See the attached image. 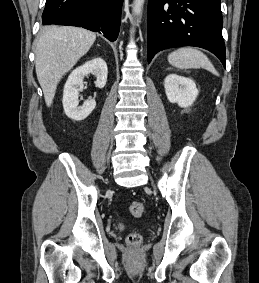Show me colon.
<instances>
[{
	"instance_id": "colon-1",
	"label": "colon",
	"mask_w": 259,
	"mask_h": 283,
	"mask_svg": "<svg viewBox=\"0 0 259 283\" xmlns=\"http://www.w3.org/2000/svg\"><path fill=\"white\" fill-rule=\"evenodd\" d=\"M145 206L142 202L135 201L130 205V212L135 217H141L144 214ZM127 243L130 246H138L142 242V236L138 232H132L127 236Z\"/></svg>"
}]
</instances>
